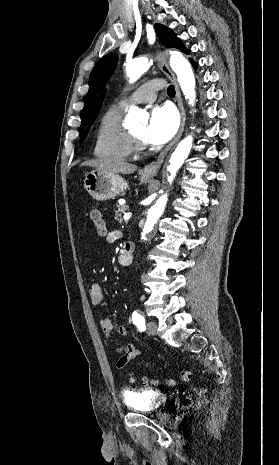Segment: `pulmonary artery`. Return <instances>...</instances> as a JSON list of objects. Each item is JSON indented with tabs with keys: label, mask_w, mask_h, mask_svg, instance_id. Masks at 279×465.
<instances>
[{
	"label": "pulmonary artery",
	"mask_w": 279,
	"mask_h": 465,
	"mask_svg": "<svg viewBox=\"0 0 279 465\" xmlns=\"http://www.w3.org/2000/svg\"><path fill=\"white\" fill-rule=\"evenodd\" d=\"M160 88L161 82L159 80H150L141 85L131 95L122 98L119 104L125 107L133 103H151L156 99L157 91Z\"/></svg>",
	"instance_id": "1"
}]
</instances>
